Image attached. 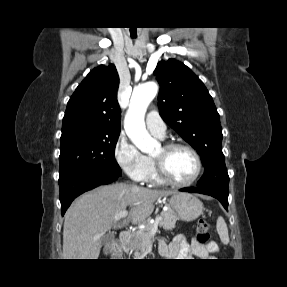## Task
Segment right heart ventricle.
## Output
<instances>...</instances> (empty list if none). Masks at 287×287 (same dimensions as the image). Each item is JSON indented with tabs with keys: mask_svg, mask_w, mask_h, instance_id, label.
<instances>
[{
	"mask_svg": "<svg viewBox=\"0 0 287 287\" xmlns=\"http://www.w3.org/2000/svg\"><path fill=\"white\" fill-rule=\"evenodd\" d=\"M146 158H147V171L143 181L150 183L152 185L164 184V181H162L157 174L153 159L151 157Z\"/></svg>",
	"mask_w": 287,
	"mask_h": 287,
	"instance_id": "right-heart-ventricle-1",
	"label": "right heart ventricle"
}]
</instances>
